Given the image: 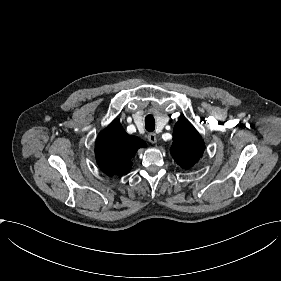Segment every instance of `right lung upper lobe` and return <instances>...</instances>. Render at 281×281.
Listing matches in <instances>:
<instances>
[{
  "label": "right lung upper lobe",
  "instance_id": "obj_1",
  "mask_svg": "<svg viewBox=\"0 0 281 281\" xmlns=\"http://www.w3.org/2000/svg\"><path fill=\"white\" fill-rule=\"evenodd\" d=\"M145 146L143 140L127 134L120 123L113 121L97 138V164L108 176L126 175L137 150Z\"/></svg>",
  "mask_w": 281,
  "mask_h": 281
}]
</instances>
